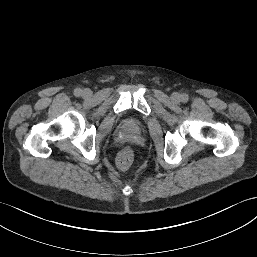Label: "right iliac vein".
I'll use <instances>...</instances> for the list:
<instances>
[{"label": "right iliac vein", "mask_w": 257, "mask_h": 257, "mask_svg": "<svg viewBox=\"0 0 257 257\" xmlns=\"http://www.w3.org/2000/svg\"><path fill=\"white\" fill-rule=\"evenodd\" d=\"M82 94L84 97H89L91 95V91L89 89H84Z\"/></svg>", "instance_id": "right-iliac-vein-1"}]
</instances>
